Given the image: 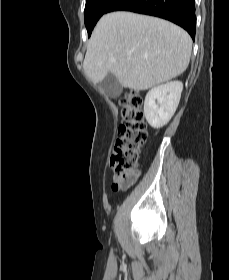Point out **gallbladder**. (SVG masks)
Instances as JSON below:
<instances>
[{
    "label": "gallbladder",
    "mask_w": 229,
    "mask_h": 280,
    "mask_svg": "<svg viewBox=\"0 0 229 280\" xmlns=\"http://www.w3.org/2000/svg\"><path fill=\"white\" fill-rule=\"evenodd\" d=\"M100 87L111 98H117L122 92L121 84L112 73L106 75V77L100 82Z\"/></svg>",
    "instance_id": "obj_1"
}]
</instances>
